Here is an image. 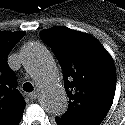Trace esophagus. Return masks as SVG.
<instances>
[{
  "mask_svg": "<svg viewBox=\"0 0 125 125\" xmlns=\"http://www.w3.org/2000/svg\"><path fill=\"white\" fill-rule=\"evenodd\" d=\"M39 93L37 91H34L30 93L28 96L31 100H35L38 97Z\"/></svg>",
  "mask_w": 125,
  "mask_h": 125,
  "instance_id": "34e87169",
  "label": "esophagus"
}]
</instances>
